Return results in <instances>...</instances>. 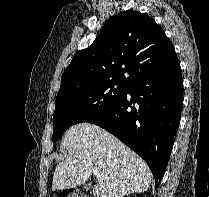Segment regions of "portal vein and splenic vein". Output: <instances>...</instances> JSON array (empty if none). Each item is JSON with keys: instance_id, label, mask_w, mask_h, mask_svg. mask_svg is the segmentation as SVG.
Masks as SVG:
<instances>
[{"instance_id": "18ae733b", "label": "portal vein and splenic vein", "mask_w": 209, "mask_h": 197, "mask_svg": "<svg viewBox=\"0 0 209 197\" xmlns=\"http://www.w3.org/2000/svg\"><path fill=\"white\" fill-rule=\"evenodd\" d=\"M93 174H94L96 177H100V174H99V170H98V169H93Z\"/></svg>"}]
</instances>
